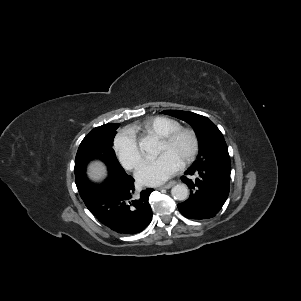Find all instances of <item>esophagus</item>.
Returning <instances> with one entry per match:
<instances>
[{"mask_svg": "<svg viewBox=\"0 0 301 301\" xmlns=\"http://www.w3.org/2000/svg\"><path fill=\"white\" fill-rule=\"evenodd\" d=\"M175 184H176L175 181H170V182H168L167 184H165V185L159 187L158 189H169V188H171L172 186H174Z\"/></svg>", "mask_w": 301, "mask_h": 301, "instance_id": "34e87169", "label": "esophagus"}]
</instances>
